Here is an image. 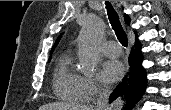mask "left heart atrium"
I'll list each match as a JSON object with an SVG mask.
<instances>
[{"label":"left heart atrium","mask_w":171,"mask_h":110,"mask_svg":"<svg viewBox=\"0 0 171 110\" xmlns=\"http://www.w3.org/2000/svg\"><path fill=\"white\" fill-rule=\"evenodd\" d=\"M124 74V66L120 61H107L102 65L101 76L106 82H115Z\"/></svg>","instance_id":"left-heart-atrium-1"}]
</instances>
